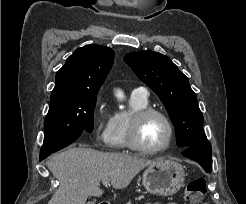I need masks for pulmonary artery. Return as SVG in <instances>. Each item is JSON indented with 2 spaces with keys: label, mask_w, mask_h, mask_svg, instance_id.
Returning a JSON list of instances; mask_svg holds the SVG:
<instances>
[{
  "label": "pulmonary artery",
  "mask_w": 246,
  "mask_h": 204,
  "mask_svg": "<svg viewBox=\"0 0 246 204\" xmlns=\"http://www.w3.org/2000/svg\"><path fill=\"white\" fill-rule=\"evenodd\" d=\"M132 95L146 98L148 96V91L145 87H137L132 91Z\"/></svg>",
  "instance_id": "pulmonary-artery-1"
}]
</instances>
